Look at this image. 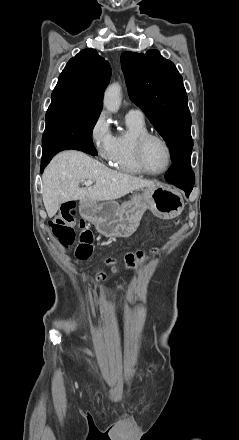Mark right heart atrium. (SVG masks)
Returning <instances> with one entry per match:
<instances>
[{
	"instance_id": "d8ad5b80",
	"label": "right heart atrium",
	"mask_w": 239,
	"mask_h": 440,
	"mask_svg": "<svg viewBox=\"0 0 239 440\" xmlns=\"http://www.w3.org/2000/svg\"><path fill=\"white\" fill-rule=\"evenodd\" d=\"M88 139L102 160H111L115 152V136L110 129L105 112H100L90 124Z\"/></svg>"
}]
</instances>
